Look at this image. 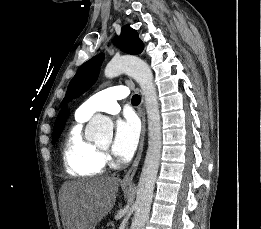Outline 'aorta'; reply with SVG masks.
<instances>
[{"label": "aorta", "instance_id": "obj_1", "mask_svg": "<svg viewBox=\"0 0 261 229\" xmlns=\"http://www.w3.org/2000/svg\"><path fill=\"white\" fill-rule=\"evenodd\" d=\"M121 72H126L139 82L145 96L148 119V149L142 167L138 187L136 189L135 215L130 229H144L151 209L155 181L160 165L162 151V133L160 110L157 92L153 82V74L145 60L138 56H113L105 66L104 74L107 78H114ZM90 131H86V139H93L101 143L105 139L111 141L113 123L109 117L95 115L90 121Z\"/></svg>", "mask_w": 261, "mask_h": 229}]
</instances>
